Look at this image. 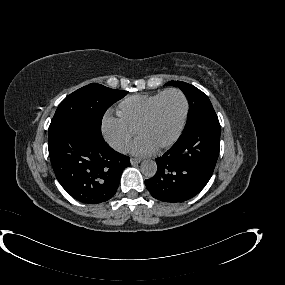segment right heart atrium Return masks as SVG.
<instances>
[{"instance_id": "right-heart-atrium-1", "label": "right heart atrium", "mask_w": 285, "mask_h": 285, "mask_svg": "<svg viewBox=\"0 0 285 285\" xmlns=\"http://www.w3.org/2000/svg\"><path fill=\"white\" fill-rule=\"evenodd\" d=\"M101 132L109 145L119 152H126L133 141V132L122 121L110 114L104 116Z\"/></svg>"}]
</instances>
